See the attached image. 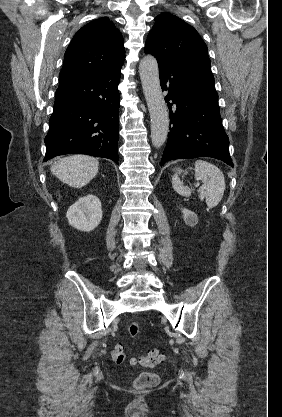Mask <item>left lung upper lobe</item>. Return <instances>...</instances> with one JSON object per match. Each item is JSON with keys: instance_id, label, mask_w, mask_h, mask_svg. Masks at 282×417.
<instances>
[{"instance_id": "obj_1", "label": "left lung upper lobe", "mask_w": 282, "mask_h": 417, "mask_svg": "<svg viewBox=\"0 0 282 417\" xmlns=\"http://www.w3.org/2000/svg\"><path fill=\"white\" fill-rule=\"evenodd\" d=\"M155 21L144 50L168 64L211 65L207 46L192 26L167 12L158 15Z\"/></svg>"}]
</instances>
